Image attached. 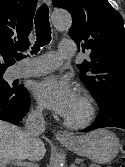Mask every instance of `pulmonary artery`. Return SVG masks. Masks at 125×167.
Wrapping results in <instances>:
<instances>
[{"label":"pulmonary artery","mask_w":125,"mask_h":167,"mask_svg":"<svg viewBox=\"0 0 125 167\" xmlns=\"http://www.w3.org/2000/svg\"><path fill=\"white\" fill-rule=\"evenodd\" d=\"M75 45L71 40H61L59 52H48L31 59L32 65L17 69L14 77H32L47 74L56 69L64 59H70L74 55Z\"/></svg>","instance_id":"1"}]
</instances>
